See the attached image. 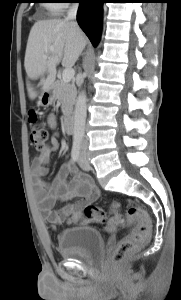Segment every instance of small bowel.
<instances>
[{
    "label": "small bowel",
    "instance_id": "small-bowel-1",
    "mask_svg": "<svg viewBox=\"0 0 181 300\" xmlns=\"http://www.w3.org/2000/svg\"><path fill=\"white\" fill-rule=\"evenodd\" d=\"M48 123L54 128L56 121L49 116ZM58 134L54 133L50 142L35 157L33 162V186L35 197L42 210L47 212V221L52 224L62 222L78 223L83 220V208L97 199L99 191L84 175H74L75 165L69 160L57 171L51 182L42 180L48 173L46 166L50 155L58 148ZM78 198L75 203H66L61 209L53 210L58 201L68 202Z\"/></svg>",
    "mask_w": 181,
    "mask_h": 300
}]
</instances>
